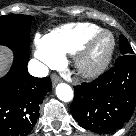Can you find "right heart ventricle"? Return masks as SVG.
I'll list each match as a JSON object with an SVG mask.
<instances>
[{"instance_id":"obj_1","label":"right heart ventricle","mask_w":136,"mask_h":136,"mask_svg":"<svg viewBox=\"0 0 136 136\" xmlns=\"http://www.w3.org/2000/svg\"><path fill=\"white\" fill-rule=\"evenodd\" d=\"M102 31L91 23H70L58 27L43 37V41L51 50L59 54H74L90 37Z\"/></svg>"}]
</instances>
